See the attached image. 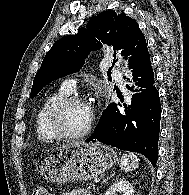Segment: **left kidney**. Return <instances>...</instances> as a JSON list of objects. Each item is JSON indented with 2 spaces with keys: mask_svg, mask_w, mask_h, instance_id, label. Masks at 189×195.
Wrapping results in <instances>:
<instances>
[{
  "mask_svg": "<svg viewBox=\"0 0 189 195\" xmlns=\"http://www.w3.org/2000/svg\"><path fill=\"white\" fill-rule=\"evenodd\" d=\"M118 193L122 195H134L133 186L130 182L126 180H121L111 185V187L104 195H118Z\"/></svg>",
  "mask_w": 189,
  "mask_h": 195,
  "instance_id": "5707ae66",
  "label": "left kidney"
}]
</instances>
